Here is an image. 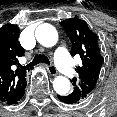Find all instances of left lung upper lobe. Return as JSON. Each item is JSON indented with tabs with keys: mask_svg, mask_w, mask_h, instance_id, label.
Listing matches in <instances>:
<instances>
[{
	"mask_svg": "<svg viewBox=\"0 0 117 117\" xmlns=\"http://www.w3.org/2000/svg\"><path fill=\"white\" fill-rule=\"evenodd\" d=\"M60 25L72 42L71 55L78 54L82 60V66L75 69L79 80L74 78L72 82L73 92L77 93L83 101L94 90L104 60L100 54L98 37L89 29L85 21L78 18L61 21Z\"/></svg>",
	"mask_w": 117,
	"mask_h": 117,
	"instance_id": "1",
	"label": "left lung upper lobe"
}]
</instances>
